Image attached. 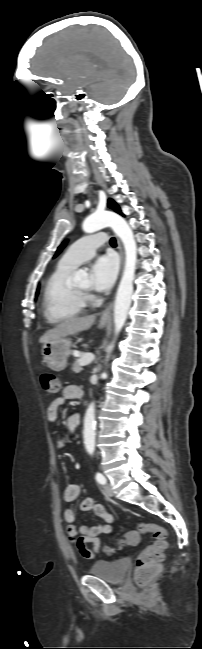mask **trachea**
Here are the masks:
<instances>
[{"mask_svg":"<svg viewBox=\"0 0 202 649\" xmlns=\"http://www.w3.org/2000/svg\"><path fill=\"white\" fill-rule=\"evenodd\" d=\"M110 244H111L112 246H116V240H115V238H111V239H110Z\"/></svg>","mask_w":202,"mask_h":649,"instance_id":"1","label":"trachea"}]
</instances>
